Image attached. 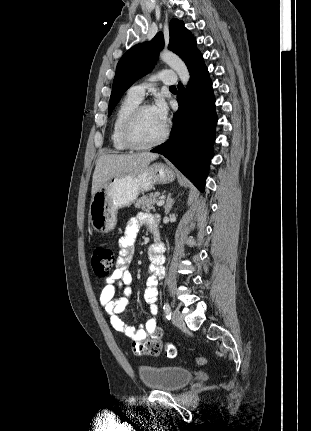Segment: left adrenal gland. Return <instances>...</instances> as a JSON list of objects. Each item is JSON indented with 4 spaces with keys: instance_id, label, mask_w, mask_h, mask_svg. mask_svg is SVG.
I'll use <instances>...</instances> for the list:
<instances>
[{
    "instance_id": "a2214340",
    "label": "left adrenal gland",
    "mask_w": 311,
    "mask_h": 431,
    "mask_svg": "<svg viewBox=\"0 0 311 431\" xmlns=\"http://www.w3.org/2000/svg\"><path fill=\"white\" fill-rule=\"evenodd\" d=\"M178 196H180V194H178ZM173 204H175V200H172L171 194H168L167 200H166V204L164 206V208H165V214H169V212H170Z\"/></svg>"
}]
</instances>
